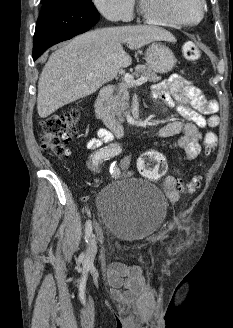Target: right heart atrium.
Masks as SVG:
<instances>
[{
  "instance_id": "obj_1",
  "label": "right heart atrium",
  "mask_w": 233,
  "mask_h": 328,
  "mask_svg": "<svg viewBox=\"0 0 233 328\" xmlns=\"http://www.w3.org/2000/svg\"><path fill=\"white\" fill-rule=\"evenodd\" d=\"M93 5L111 21H127L133 16L135 0H92Z\"/></svg>"
}]
</instances>
